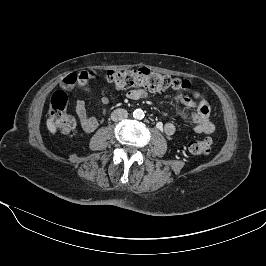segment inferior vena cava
<instances>
[{
    "instance_id": "1",
    "label": "inferior vena cava",
    "mask_w": 266,
    "mask_h": 266,
    "mask_svg": "<svg viewBox=\"0 0 266 266\" xmlns=\"http://www.w3.org/2000/svg\"><path fill=\"white\" fill-rule=\"evenodd\" d=\"M128 117V112L125 109H115L111 113V119L115 122L125 120Z\"/></svg>"
}]
</instances>
